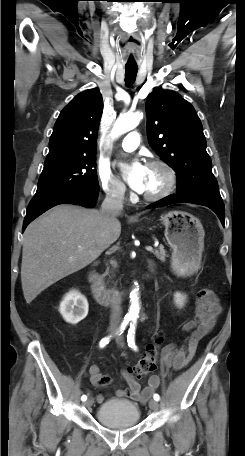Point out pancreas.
I'll return each mask as SVG.
<instances>
[{"mask_svg": "<svg viewBox=\"0 0 245 456\" xmlns=\"http://www.w3.org/2000/svg\"><path fill=\"white\" fill-rule=\"evenodd\" d=\"M154 255H155L156 258L159 259L160 261H162V262H165V261H166L167 254H166V250L164 249V247H163L162 245H160V246L158 247V249L155 250ZM114 264L116 265L115 262H114Z\"/></svg>", "mask_w": 245, "mask_h": 456, "instance_id": "1", "label": "pancreas"}]
</instances>
